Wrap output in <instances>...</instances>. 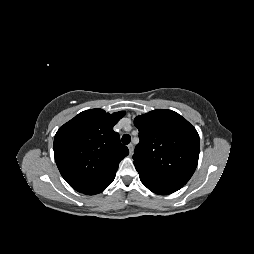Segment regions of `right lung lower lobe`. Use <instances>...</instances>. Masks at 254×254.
<instances>
[{
    "label": "right lung lower lobe",
    "instance_id": "right-lung-lower-lobe-1",
    "mask_svg": "<svg viewBox=\"0 0 254 254\" xmlns=\"http://www.w3.org/2000/svg\"><path fill=\"white\" fill-rule=\"evenodd\" d=\"M115 177L109 179L108 181H106L105 183L93 188V189H90V190H87V191H83L81 193H84V194H87V195H94V194H98L100 192H102L103 190H105L111 183L112 181L114 180Z\"/></svg>",
    "mask_w": 254,
    "mask_h": 254
}]
</instances>
